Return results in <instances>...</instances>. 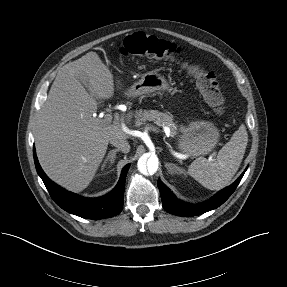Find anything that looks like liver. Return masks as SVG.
Returning a JSON list of instances; mask_svg holds the SVG:
<instances>
[{"instance_id":"6515ba94","label":"liver","mask_w":287,"mask_h":287,"mask_svg":"<svg viewBox=\"0 0 287 287\" xmlns=\"http://www.w3.org/2000/svg\"><path fill=\"white\" fill-rule=\"evenodd\" d=\"M113 95V75L96 52H88L58 71L39 113L35 147L43 170L60 186L73 192L84 190L93 180L110 138H128L118 117L105 125L95 116L97 99ZM130 118L131 113L127 114L128 121Z\"/></svg>"}]
</instances>
